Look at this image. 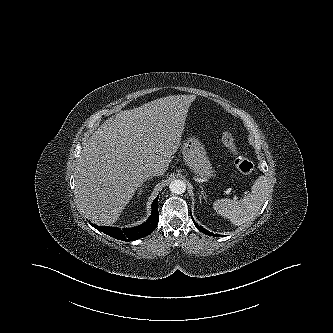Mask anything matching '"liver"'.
<instances>
[{
	"label": "liver",
	"instance_id": "6515ba94",
	"mask_svg": "<svg viewBox=\"0 0 333 333\" xmlns=\"http://www.w3.org/2000/svg\"><path fill=\"white\" fill-rule=\"evenodd\" d=\"M194 95H171L106 120L87 140L75 177V198L85 217L115 223L150 169L162 175L180 146Z\"/></svg>",
	"mask_w": 333,
	"mask_h": 333
}]
</instances>
